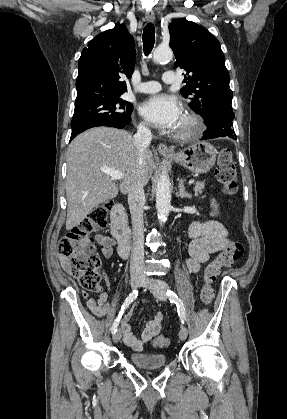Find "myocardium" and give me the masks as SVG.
Listing matches in <instances>:
<instances>
[{"mask_svg":"<svg viewBox=\"0 0 287 419\" xmlns=\"http://www.w3.org/2000/svg\"><path fill=\"white\" fill-rule=\"evenodd\" d=\"M182 119L183 126L176 131L174 134L175 138L184 140L202 133L204 126L199 116L187 111L184 113Z\"/></svg>","mask_w":287,"mask_h":419,"instance_id":"obj_1","label":"myocardium"}]
</instances>
